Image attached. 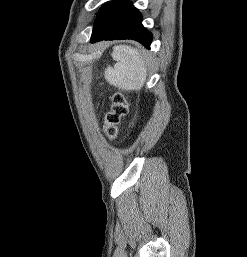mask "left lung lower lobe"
I'll return each mask as SVG.
<instances>
[{"instance_id":"obj_1","label":"left lung lower lobe","mask_w":247,"mask_h":257,"mask_svg":"<svg viewBox=\"0 0 247 257\" xmlns=\"http://www.w3.org/2000/svg\"><path fill=\"white\" fill-rule=\"evenodd\" d=\"M141 22L139 11L129 1L107 2L97 13L90 42L133 39L150 48L152 34Z\"/></svg>"}]
</instances>
